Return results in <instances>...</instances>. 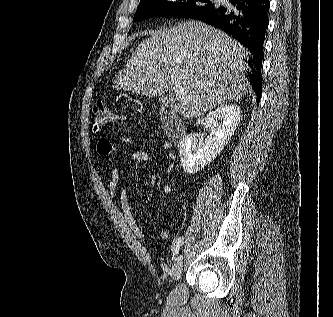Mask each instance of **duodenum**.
<instances>
[{"label": "duodenum", "mask_w": 333, "mask_h": 317, "mask_svg": "<svg viewBox=\"0 0 333 317\" xmlns=\"http://www.w3.org/2000/svg\"><path fill=\"white\" fill-rule=\"evenodd\" d=\"M161 125L174 145H180L186 136V130L181 122L173 113L170 106H163L159 112Z\"/></svg>", "instance_id": "duodenum-1"}]
</instances>
